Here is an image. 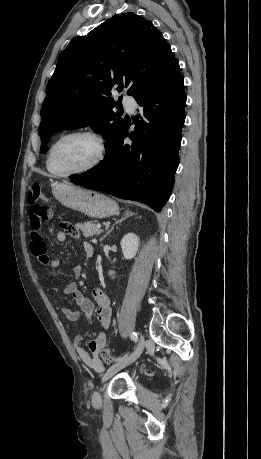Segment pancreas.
<instances>
[{"label": "pancreas", "instance_id": "obj_1", "mask_svg": "<svg viewBox=\"0 0 261 459\" xmlns=\"http://www.w3.org/2000/svg\"><path fill=\"white\" fill-rule=\"evenodd\" d=\"M96 223L97 221L94 220V221L77 224L76 227L82 231L83 236H85L86 238H89L95 235H99L102 232V230L97 228Z\"/></svg>", "mask_w": 261, "mask_h": 459}]
</instances>
